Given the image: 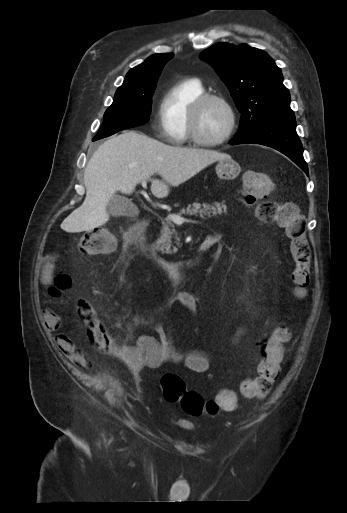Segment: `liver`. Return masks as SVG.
I'll list each match as a JSON object with an SVG mask.
<instances>
[{"label":"liver","instance_id":"obj_1","mask_svg":"<svg viewBox=\"0 0 347 513\" xmlns=\"http://www.w3.org/2000/svg\"><path fill=\"white\" fill-rule=\"evenodd\" d=\"M231 158L216 150L166 145L143 133L124 131L105 141L89 160L84 172L86 198L61 223L69 233L91 231L109 220L107 204L117 191L131 194L142 181L151 182L157 198L169 194L217 160ZM158 173L166 182L151 179Z\"/></svg>","mask_w":347,"mask_h":513}]
</instances>
